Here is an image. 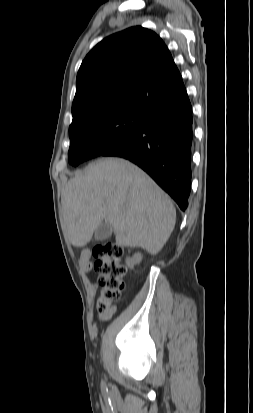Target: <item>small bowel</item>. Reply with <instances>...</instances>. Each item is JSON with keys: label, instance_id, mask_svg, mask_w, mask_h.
<instances>
[{"label": "small bowel", "instance_id": "obj_1", "mask_svg": "<svg viewBox=\"0 0 253 413\" xmlns=\"http://www.w3.org/2000/svg\"><path fill=\"white\" fill-rule=\"evenodd\" d=\"M89 250H83L79 256L78 263L79 267L83 272H90L92 269V263L90 260ZM116 312V307L110 308L107 312L100 314L99 319L102 321L109 320L113 314Z\"/></svg>", "mask_w": 253, "mask_h": 413}]
</instances>
